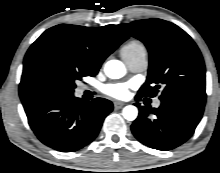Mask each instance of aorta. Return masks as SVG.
<instances>
[{"label": "aorta", "mask_w": 220, "mask_h": 173, "mask_svg": "<svg viewBox=\"0 0 220 173\" xmlns=\"http://www.w3.org/2000/svg\"><path fill=\"white\" fill-rule=\"evenodd\" d=\"M105 74L111 79H119L125 74V67L119 60H110L105 64ZM123 117L128 121H134L138 116V109L133 105H128L122 110Z\"/></svg>", "instance_id": "762f6f07"}]
</instances>
